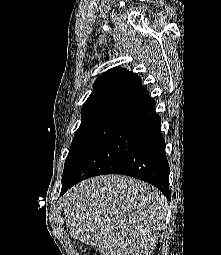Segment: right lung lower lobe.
Returning a JSON list of instances; mask_svg holds the SVG:
<instances>
[{
    "instance_id": "right-lung-lower-lobe-1",
    "label": "right lung lower lobe",
    "mask_w": 221,
    "mask_h": 255,
    "mask_svg": "<svg viewBox=\"0 0 221 255\" xmlns=\"http://www.w3.org/2000/svg\"><path fill=\"white\" fill-rule=\"evenodd\" d=\"M155 102L144 91L116 111L62 179L61 195L102 174H124L156 186L170 201L169 164Z\"/></svg>"
}]
</instances>
